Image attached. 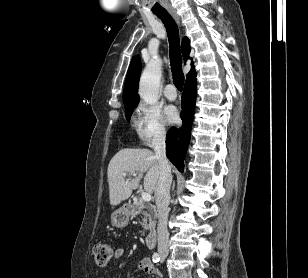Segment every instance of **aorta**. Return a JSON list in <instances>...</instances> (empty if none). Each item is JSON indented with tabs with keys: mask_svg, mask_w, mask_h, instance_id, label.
<instances>
[{
	"mask_svg": "<svg viewBox=\"0 0 308 278\" xmlns=\"http://www.w3.org/2000/svg\"><path fill=\"white\" fill-rule=\"evenodd\" d=\"M162 62L153 57L145 67L139 82V95L147 104L158 101Z\"/></svg>",
	"mask_w": 308,
	"mask_h": 278,
	"instance_id": "762f6f07",
	"label": "aorta"
}]
</instances>
